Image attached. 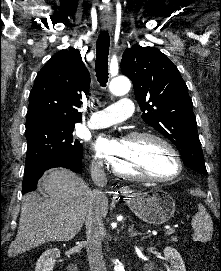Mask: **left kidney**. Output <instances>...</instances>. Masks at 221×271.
<instances>
[{
    "label": "left kidney",
    "mask_w": 221,
    "mask_h": 271,
    "mask_svg": "<svg viewBox=\"0 0 221 271\" xmlns=\"http://www.w3.org/2000/svg\"><path fill=\"white\" fill-rule=\"evenodd\" d=\"M164 259H167L170 263V267H168V271H186L185 263L177 249L175 247H171V245H167L163 249Z\"/></svg>",
    "instance_id": "obj_1"
}]
</instances>
